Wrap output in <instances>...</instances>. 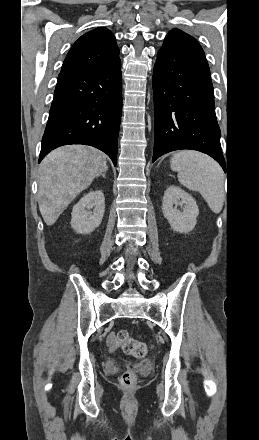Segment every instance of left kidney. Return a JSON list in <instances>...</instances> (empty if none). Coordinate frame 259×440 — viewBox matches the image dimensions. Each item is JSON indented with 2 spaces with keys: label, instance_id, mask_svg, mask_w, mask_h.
Here are the masks:
<instances>
[{
  "label": "left kidney",
  "instance_id": "5707ae66",
  "mask_svg": "<svg viewBox=\"0 0 259 440\" xmlns=\"http://www.w3.org/2000/svg\"><path fill=\"white\" fill-rule=\"evenodd\" d=\"M178 205L182 207V211L177 209ZM162 212L174 231L188 233L197 223L199 209L195 199L189 193L172 185L164 192Z\"/></svg>",
  "mask_w": 259,
  "mask_h": 440
}]
</instances>
